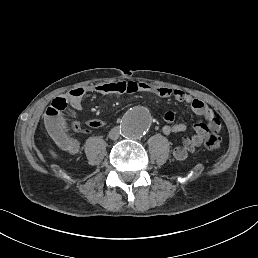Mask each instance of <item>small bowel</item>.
<instances>
[{
  "label": "small bowel",
  "mask_w": 258,
  "mask_h": 258,
  "mask_svg": "<svg viewBox=\"0 0 258 258\" xmlns=\"http://www.w3.org/2000/svg\"><path fill=\"white\" fill-rule=\"evenodd\" d=\"M91 92L103 95H121L135 92L151 93L158 97L173 98L176 101L182 102L196 115L203 117L206 122L196 123L194 125V134L191 136L183 135L182 145L173 149V156L177 160H184L190 153H193L202 144L210 131L218 132L221 129L220 121L204 101L179 89L134 81H118L89 87H78L65 95L55 98L45 114V125L51 139L60 149L72 155L79 153L80 145L70 133L68 121L64 116V110L67 107L81 110L83 98ZM163 119L165 124L162 127V132L165 135L184 133L187 129L184 123H174L175 116L172 112H165ZM86 124L90 128L96 129L105 126L106 122L97 118H88Z\"/></svg>",
  "instance_id": "obj_1"
}]
</instances>
